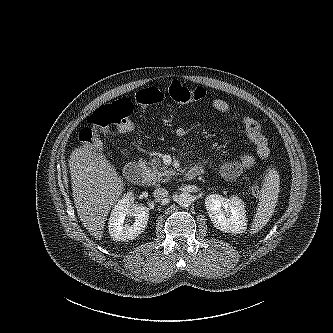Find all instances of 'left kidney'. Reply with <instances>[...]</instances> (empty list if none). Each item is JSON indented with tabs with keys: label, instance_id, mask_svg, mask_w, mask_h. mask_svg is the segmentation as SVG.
<instances>
[{
	"label": "left kidney",
	"instance_id": "left-kidney-1",
	"mask_svg": "<svg viewBox=\"0 0 333 333\" xmlns=\"http://www.w3.org/2000/svg\"><path fill=\"white\" fill-rule=\"evenodd\" d=\"M205 206L214 226L225 233L238 234L246 229L244 203L238 196L230 198L219 194L208 195Z\"/></svg>",
	"mask_w": 333,
	"mask_h": 333
}]
</instances>
